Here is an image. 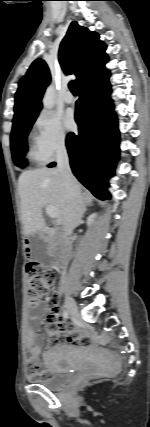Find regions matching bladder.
<instances>
[{"label":"bladder","instance_id":"31cf9c89","mask_svg":"<svg viewBox=\"0 0 150 427\" xmlns=\"http://www.w3.org/2000/svg\"><path fill=\"white\" fill-rule=\"evenodd\" d=\"M74 371L75 369L65 357L49 358L46 361V376L39 384L51 390L61 388L71 380Z\"/></svg>","mask_w":150,"mask_h":427}]
</instances>
